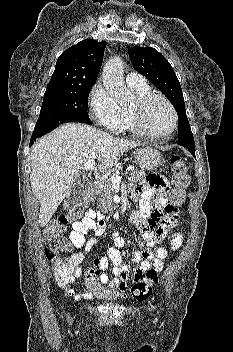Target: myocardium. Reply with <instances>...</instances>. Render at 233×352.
I'll return each mask as SVG.
<instances>
[{
  "mask_svg": "<svg viewBox=\"0 0 233 352\" xmlns=\"http://www.w3.org/2000/svg\"><path fill=\"white\" fill-rule=\"evenodd\" d=\"M155 100L163 101L170 109L173 117L171 128L164 133H153L149 131L144 123V115L147 107ZM131 119L136 133L149 139H163L171 135L178 125V114L174 105L165 96L156 93H149L137 98L135 105L130 109Z\"/></svg>",
  "mask_w": 233,
  "mask_h": 352,
  "instance_id": "obj_1",
  "label": "myocardium"
}]
</instances>
